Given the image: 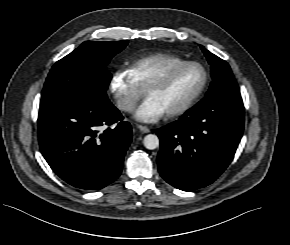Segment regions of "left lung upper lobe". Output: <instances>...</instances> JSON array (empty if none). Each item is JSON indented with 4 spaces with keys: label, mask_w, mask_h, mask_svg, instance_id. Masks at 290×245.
Instances as JSON below:
<instances>
[{
    "label": "left lung upper lobe",
    "mask_w": 290,
    "mask_h": 245,
    "mask_svg": "<svg viewBox=\"0 0 290 245\" xmlns=\"http://www.w3.org/2000/svg\"><path fill=\"white\" fill-rule=\"evenodd\" d=\"M211 65L212 83L205 97L200 101H210L220 97H241L239 87L228 63L200 46Z\"/></svg>",
    "instance_id": "5c2ea615"
}]
</instances>
